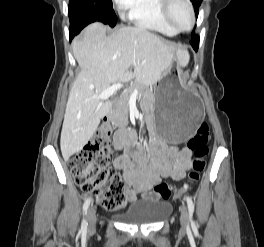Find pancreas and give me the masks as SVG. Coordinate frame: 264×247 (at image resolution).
I'll return each mask as SVG.
<instances>
[{
  "instance_id": "obj_1",
  "label": "pancreas",
  "mask_w": 264,
  "mask_h": 247,
  "mask_svg": "<svg viewBox=\"0 0 264 247\" xmlns=\"http://www.w3.org/2000/svg\"><path fill=\"white\" fill-rule=\"evenodd\" d=\"M134 89H138L141 95L147 93L146 88L141 83L134 84L124 91L112 113V121L118 125H125L128 122V102Z\"/></svg>"
}]
</instances>
